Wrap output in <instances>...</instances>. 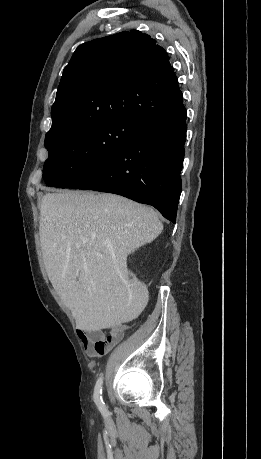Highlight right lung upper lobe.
<instances>
[{
    "instance_id": "cb5924a9",
    "label": "right lung upper lobe",
    "mask_w": 261,
    "mask_h": 459,
    "mask_svg": "<svg viewBox=\"0 0 261 459\" xmlns=\"http://www.w3.org/2000/svg\"><path fill=\"white\" fill-rule=\"evenodd\" d=\"M182 99L164 48L140 31H124L76 49L63 70L47 135L123 119L143 124Z\"/></svg>"
}]
</instances>
